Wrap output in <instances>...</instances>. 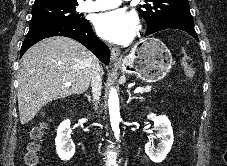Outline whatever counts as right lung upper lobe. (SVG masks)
I'll list each match as a JSON object with an SVG mask.
<instances>
[{
    "instance_id": "cb5924a9",
    "label": "right lung upper lobe",
    "mask_w": 227,
    "mask_h": 166,
    "mask_svg": "<svg viewBox=\"0 0 227 166\" xmlns=\"http://www.w3.org/2000/svg\"><path fill=\"white\" fill-rule=\"evenodd\" d=\"M49 2L77 3V0H35L34 5Z\"/></svg>"
}]
</instances>
